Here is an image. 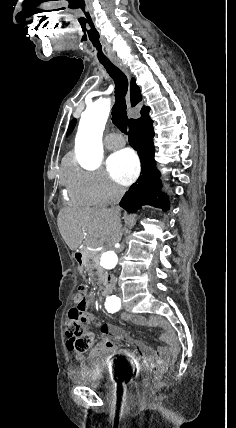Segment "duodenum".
<instances>
[{
    "instance_id": "410a0bca",
    "label": "duodenum",
    "mask_w": 236,
    "mask_h": 428,
    "mask_svg": "<svg viewBox=\"0 0 236 428\" xmlns=\"http://www.w3.org/2000/svg\"><path fill=\"white\" fill-rule=\"evenodd\" d=\"M74 260L75 263L77 265V268L79 271H83L84 269V258H83V253L80 250H76L74 252ZM115 288V278L112 275H108L105 277L104 281H103V285L100 291V294L102 297H104L105 299L109 298L110 296L113 295V291Z\"/></svg>"
}]
</instances>
